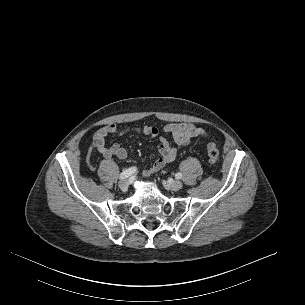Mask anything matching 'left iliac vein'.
<instances>
[{"label": "left iliac vein", "instance_id": "1", "mask_svg": "<svg viewBox=\"0 0 305 305\" xmlns=\"http://www.w3.org/2000/svg\"><path fill=\"white\" fill-rule=\"evenodd\" d=\"M164 184H166V186L173 191H178L183 186V183L180 180H175V181H170V182L164 181Z\"/></svg>", "mask_w": 305, "mask_h": 305}]
</instances>
